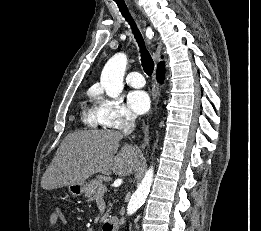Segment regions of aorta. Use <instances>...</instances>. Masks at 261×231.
Here are the masks:
<instances>
[{"label": "aorta", "mask_w": 261, "mask_h": 231, "mask_svg": "<svg viewBox=\"0 0 261 231\" xmlns=\"http://www.w3.org/2000/svg\"><path fill=\"white\" fill-rule=\"evenodd\" d=\"M127 65V57L123 53L114 55L104 66L100 83L106 94L111 98H118L123 91V78ZM154 170L149 168L136 191L131 196L127 206V214H134L145 202L153 182Z\"/></svg>", "instance_id": "1"}]
</instances>
